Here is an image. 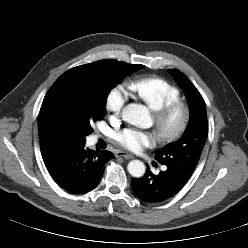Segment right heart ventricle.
Here are the masks:
<instances>
[{
	"label": "right heart ventricle",
	"mask_w": 248,
	"mask_h": 248,
	"mask_svg": "<svg viewBox=\"0 0 248 248\" xmlns=\"http://www.w3.org/2000/svg\"><path fill=\"white\" fill-rule=\"evenodd\" d=\"M131 93L156 111L162 106L181 97L177 86L160 77H141L128 84Z\"/></svg>",
	"instance_id": "e07e8e85"
}]
</instances>
